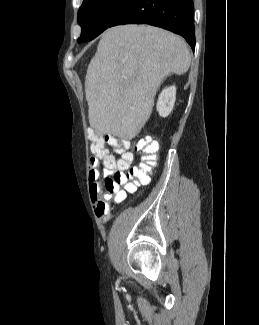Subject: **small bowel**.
I'll list each match as a JSON object with an SVG mask.
<instances>
[{"label": "small bowel", "instance_id": "obj_1", "mask_svg": "<svg viewBox=\"0 0 259 325\" xmlns=\"http://www.w3.org/2000/svg\"><path fill=\"white\" fill-rule=\"evenodd\" d=\"M102 159V165L97 158L90 159L88 181L90 196L92 202L94 203L95 213L99 218L107 219L110 215V209L106 201L110 200L112 196L109 194H102L98 183L100 172H102L105 177H108L112 174L113 170L122 163V161L121 159H116L113 155L110 154H107Z\"/></svg>", "mask_w": 259, "mask_h": 325}]
</instances>
